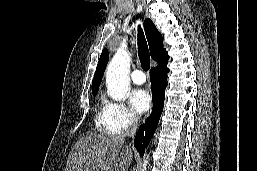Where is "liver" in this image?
<instances>
[{
  "label": "liver",
  "instance_id": "6515ba94",
  "mask_svg": "<svg viewBox=\"0 0 257 171\" xmlns=\"http://www.w3.org/2000/svg\"><path fill=\"white\" fill-rule=\"evenodd\" d=\"M132 158L123 136L89 134L73 146L65 171H127Z\"/></svg>",
  "mask_w": 257,
  "mask_h": 171
}]
</instances>
